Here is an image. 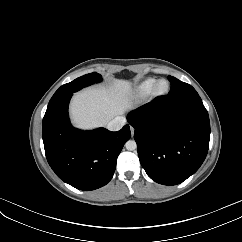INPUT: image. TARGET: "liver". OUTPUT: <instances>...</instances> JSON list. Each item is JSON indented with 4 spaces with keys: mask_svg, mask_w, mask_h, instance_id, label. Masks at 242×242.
Segmentation results:
<instances>
[{
    "mask_svg": "<svg viewBox=\"0 0 242 242\" xmlns=\"http://www.w3.org/2000/svg\"><path fill=\"white\" fill-rule=\"evenodd\" d=\"M130 91V82L114 80L108 87H89L76 93L70 104L72 123L83 130L106 125L129 108Z\"/></svg>",
    "mask_w": 242,
    "mask_h": 242,
    "instance_id": "obj_1",
    "label": "liver"
}]
</instances>
